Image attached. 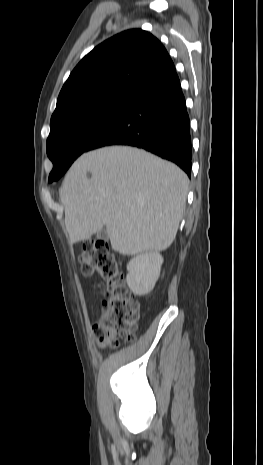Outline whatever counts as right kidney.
Here are the masks:
<instances>
[{"label":"right kidney","mask_w":263,"mask_h":465,"mask_svg":"<svg viewBox=\"0 0 263 465\" xmlns=\"http://www.w3.org/2000/svg\"><path fill=\"white\" fill-rule=\"evenodd\" d=\"M162 263L163 257L155 251L132 258L127 265L129 288L139 295L151 292L160 276Z\"/></svg>","instance_id":"right-kidney-1"}]
</instances>
